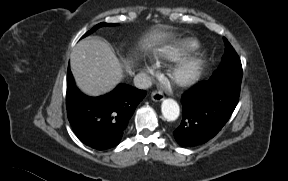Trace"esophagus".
Here are the masks:
<instances>
[{
	"label": "esophagus",
	"mask_w": 288,
	"mask_h": 181,
	"mask_svg": "<svg viewBox=\"0 0 288 181\" xmlns=\"http://www.w3.org/2000/svg\"><path fill=\"white\" fill-rule=\"evenodd\" d=\"M151 98L155 102H160L164 99V94L161 91H155L151 94Z\"/></svg>",
	"instance_id": "34e87169"
}]
</instances>
